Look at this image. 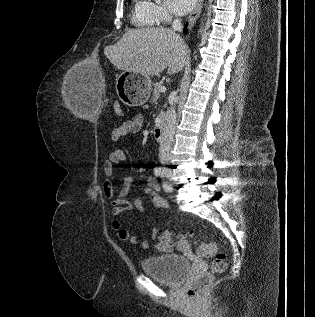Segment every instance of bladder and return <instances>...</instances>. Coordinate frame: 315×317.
I'll use <instances>...</instances> for the list:
<instances>
[{
  "label": "bladder",
  "instance_id": "bladder-1",
  "mask_svg": "<svg viewBox=\"0 0 315 317\" xmlns=\"http://www.w3.org/2000/svg\"><path fill=\"white\" fill-rule=\"evenodd\" d=\"M142 269L156 281L175 286L180 284L188 275L190 262L182 255L167 254L144 259Z\"/></svg>",
  "mask_w": 315,
  "mask_h": 317
}]
</instances>
